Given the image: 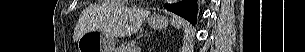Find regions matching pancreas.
<instances>
[{"mask_svg": "<svg viewBox=\"0 0 305 52\" xmlns=\"http://www.w3.org/2000/svg\"><path fill=\"white\" fill-rule=\"evenodd\" d=\"M118 52H132V48L129 44H123L118 48Z\"/></svg>", "mask_w": 305, "mask_h": 52, "instance_id": "cf45deb5", "label": "pancreas"}]
</instances>
